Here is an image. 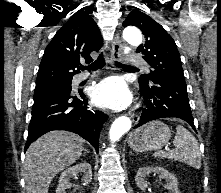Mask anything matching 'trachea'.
<instances>
[{"mask_svg": "<svg viewBox=\"0 0 221 193\" xmlns=\"http://www.w3.org/2000/svg\"><path fill=\"white\" fill-rule=\"evenodd\" d=\"M105 65V59H104V55L103 53H101L99 55V57L93 62L91 63L89 66H80L79 69L80 70H86L88 69L90 70H97V69H101L102 67H104ZM116 66L121 67V68H132V69H136L135 67L129 66V65H125V64H121L119 62L115 63Z\"/></svg>", "mask_w": 221, "mask_h": 193, "instance_id": "1", "label": "trachea"}]
</instances>
